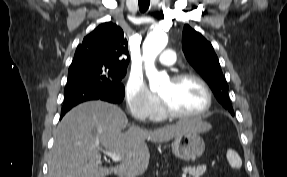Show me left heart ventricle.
Wrapping results in <instances>:
<instances>
[{"label":"left heart ventricle","mask_w":287,"mask_h":177,"mask_svg":"<svg viewBox=\"0 0 287 177\" xmlns=\"http://www.w3.org/2000/svg\"><path fill=\"white\" fill-rule=\"evenodd\" d=\"M169 106L176 112L194 114L200 112L206 103V96L201 86L193 80L174 83L167 82L159 91Z\"/></svg>","instance_id":"obj_1"}]
</instances>
